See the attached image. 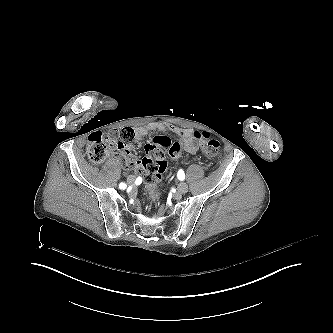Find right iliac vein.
Masks as SVG:
<instances>
[{
	"instance_id": "right-iliac-vein-1",
	"label": "right iliac vein",
	"mask_w": 333,
	"mask_h": 333,
	"mask_svg": "<svg viewBox=\"0 0 333 333\" xmlns=\"http://www.w3.org/2000/svg\"><path fill=\"white\" fill-rule=\"evenodd\" d=\"M134 180H135V177L132 176V175H129V176L127 177V182H128L129 184L133 183Z\"/></svg>"
}]
</instances>
